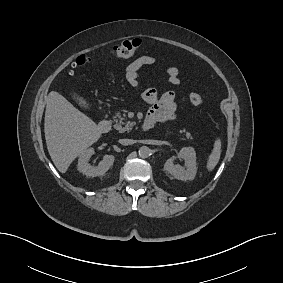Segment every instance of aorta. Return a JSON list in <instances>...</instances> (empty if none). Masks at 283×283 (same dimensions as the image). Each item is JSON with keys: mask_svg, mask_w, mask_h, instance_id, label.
I'll use <instances>...</instances> for the list:
<instances>
[{"mask_svg": "<svg viewBox=\"0 0 283 283\" xmlns=\"http://www.w3.org/2000/svg\"><path fill=\"white\" fill-rule=\"evenodd\" d=\"M138 153H139V156H140L141 158H147V157L150 156L151 150H150V148L147 147V146H141V147L139 148Z\"/></svg>", "mask_w": 283, "mask_h": 283, "instance_id": "aorta-1", "label": "aorta"}]
</instances>
